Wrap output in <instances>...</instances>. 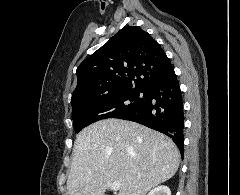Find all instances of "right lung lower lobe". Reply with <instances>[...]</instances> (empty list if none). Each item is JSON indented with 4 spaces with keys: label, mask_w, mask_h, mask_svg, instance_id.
Masks as SVG:
<instances>
[{
    "label": "right lung lower lobe",
    "mask_w": 240,
    "mask_h": 195,
    "mask_svg": "<svg viewBox=\"0 0 240 195\" xmlns=\"http://www.w3.org/2000/svg\"><path fill=\"white\" fill-rule=\"evenodd\" d=\"M143 94V101L138 106L115 118L134 121L166 134L172 138L183 156L184 111L175 72L151 84Z\"/></svg>",
    "instance_id": "1"
}]
</instances>
